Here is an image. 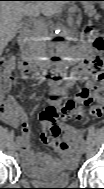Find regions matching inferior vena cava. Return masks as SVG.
<instances>
[{"label":"inferior vena cava","mask_w":104,"mask_h":189,"mask_svg":"<svg viewBox=\"0 0 104 189\" xmlns=\"http://www.w3.org/2000/svg\"><path fill=\"white\" fill-rule=\"evenodd\" d=\"M32 33L35 40L36 55H38V58H41L47 51V41L45 37L48 32L45 22L43 20H37L33 26Z\"/></svg>","instance_id":"obj_1"}]
</instances>
